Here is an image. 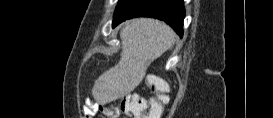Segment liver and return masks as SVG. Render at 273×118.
<instances>
[{
	"mask_svg": "<svg viewBox=\"0 0 273 118\" xmlns=\"http://www.w3.org/2000/svg\"><path fill=\"white\" fill-rule=\"evenodd\" d=\"M175 37L174 31L158 20L135 18L127 22L120 31L121 58L95 81L94 99L106 104L132 92L151 62L172 48Z\"/></svg>",
	"mask_w": 273,
	"mask_h": 118,
	"instance_id": "liver-1",
	"label": "liver"
}]
</instances>
